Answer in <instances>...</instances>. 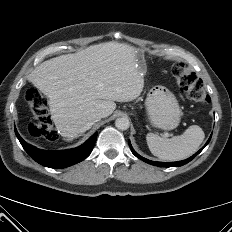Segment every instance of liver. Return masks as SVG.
I'll use <instances>...</instances> for the list:
<instances>
[{
    "label": "liver",
    "instance_id": "6515ba94",
    "mask_svg": "<svg viewBox=\"0 0 232 232\" xmlns=\"http://www.w3.org/2000/svg\"><path fill=\"white\" fill-rule=\"evenodd\" d=\"M144 62L125 43L106 42L41 63L29 81L48 96L60 135L79 136L91 114L110 116L117 102L136 99L144 87Z\"/></svg>",
    "mask_w": 232,
    "mask_h": 232
}]
</instances>
